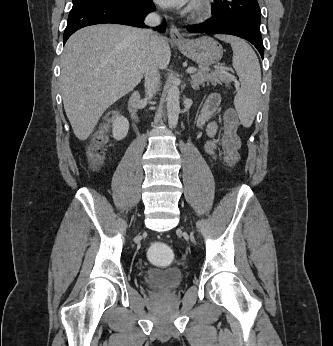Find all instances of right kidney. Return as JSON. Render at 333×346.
<instances>
[{"instance_id":"right-kidney-1","label":"right kidney","mask_w":333,"mask_h":346,"mask_svg":"<svg viewBox=\"0 0 333 346\" xmlns=\"http://www.w3.org/2000/svg\"><path fill=\"white\" fill-rule=\"evenodd\" d=\"M129 130V122L127 118L123 116H117L113 120L112 133L113 138L116 140H122L126 137Z\"/></svg>"}]
</instances>
